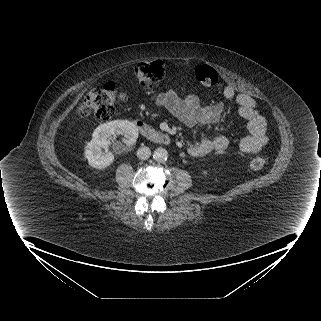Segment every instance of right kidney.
<instances>
[{
	"label": "right kidney",
	"instance_id": "right-kidney-1",
	"mask_svg": "<svg viewBox=\"0 0 321 321\" xmlns=\"http://www.w3.org/2000/svg\"><path fill=\"white\" fill-rule=\"evenodd\" d=\"M114 135H123V142L132 145L138 138V131L128 120H114L99 125L93 132L92 140L85 147V157L91 167L103 169L113 163L114 155L107 149Z\"/></svg>",
	"mask_w": 321,
	"mask_h": 321
}]
</instances>
